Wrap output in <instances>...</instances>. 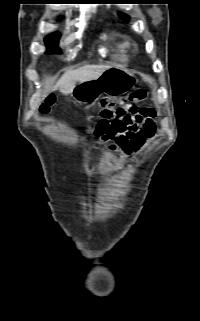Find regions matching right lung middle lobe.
<instances>
[{"instance_id":"dd1d6c3e","label":"right lung middle lobe","mask_w":200,"mask_h":321,"mask_svg":"<svg viewBox=\"0 0 200 321\" xmlns=\"http://www.w3.org/2000/svg\"><path fill=\"white\" fill-rule=\"evenodd\" d=\"M59 39V33H52L45 38V44L48 48L47 53H60V50L57 47Z\"/></svg>"}]
</instances>
